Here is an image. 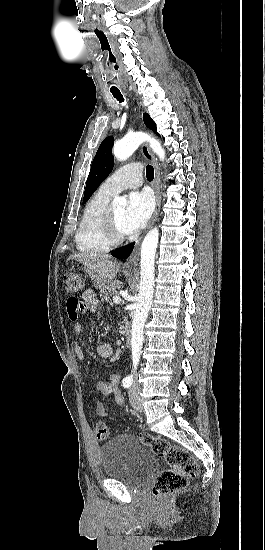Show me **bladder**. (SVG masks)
I'll use <instances>...</instances> for the list:
<instances>
[{"label":"bladder","instance_id":"1","mask_svg":"<svg viewBox=\"0 0 265 550\" xmlns=\"http://www.w3.org/2000/svg\"><path fill=\"white\" fill-rule=\"evenodd\" d=\"M103 475L138 486L157 468L158 456L139 437L118 435L100 448Z\"/></svg>","mask_w":265,"mask_h":550}]
</instances>
